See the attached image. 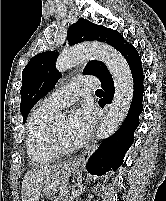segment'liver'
Here are the masks:
<instances>
[{
    "label": "liver",
    "instance_id": "1",
    "mask_svg": "<svg viewBox=\"0 0 166 201\" xmlns=\"http://www.w3.org/2000/svg\"><path fill=\"white\" fill-rule=\"evenodd\" d=\"M68 164H55L51 166H40L28 171L22 182V201H39L42 189L60 168Z\"/></svg>",
    "mask_w": 166,
    "mask_h": 201
}]
</instances>
